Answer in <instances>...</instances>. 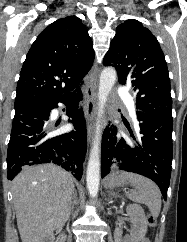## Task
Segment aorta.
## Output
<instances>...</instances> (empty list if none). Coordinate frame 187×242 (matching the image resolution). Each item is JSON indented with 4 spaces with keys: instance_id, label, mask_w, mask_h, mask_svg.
I'll list each match as a JSON object with an SVG mask.
<instances>
[{
    "instance_id": "762f6f07",
    "label": "aorta",
    "mask_w": 187,
    "mask_h": 242,
    "mask_svg": "<svg viewBox=\"0 0 187 242\" xmlns=\"http://www.w3.org/2000/svg\"><path fill=\"white\" fill-rule=\"evenodd\" d=\"M116 77L117 73L112 67L104 68L100 75L98 90V118L86 173L87 188L91 197H96L98 195L100 184V142L102 133V127L100 123L103 114V108L106 104L109 93L115 84Z\"/></svg>"
}]
</instances>
